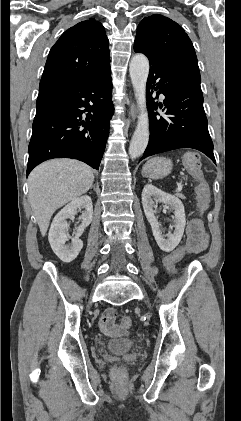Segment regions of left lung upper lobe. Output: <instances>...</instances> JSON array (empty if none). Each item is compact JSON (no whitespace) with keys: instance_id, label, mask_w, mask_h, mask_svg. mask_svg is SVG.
<instances>
[{"instance_id":"1","label":"left lung upper lobe","mask_w":241,"mask_h":421,"mask_svg":"<svg viewBox=\"0 0 241 421\" xmlns=\"http://www.w3.org/2000/svg\"><path fill=\"white\" fill-rule=\"evenodd\" d=\"M134 46L155 59L189 66L199 72L190 38L181 26L163 15L154 14L139 23Z\"/></svg>"}]
</instances>
